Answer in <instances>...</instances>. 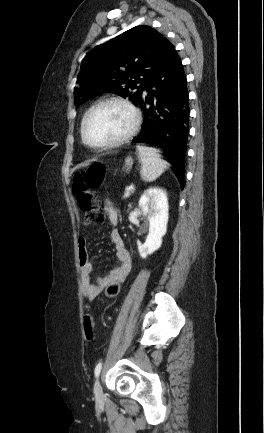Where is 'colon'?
<instances>
[{"label": "colon", "instance_id": "colon-1", "mask_svg": "<svg viewBox=\"0 0 264 433\" xmlns=\"http://www.w3.org/2000/svg\"><path fill=\"white\" fill-rule=\"evenodd\" d=\"M105 178V167L102 164H94L75 176L73 190L80 209L84 212L86 225H98L105 220V214L100 207L98 197L91 189L102 185ZM121 284L118 282L109 284L105 289L107 298L119 295Z\"/></svg>", "mask_w": 264, "mask_h": 433}]
</instances>
